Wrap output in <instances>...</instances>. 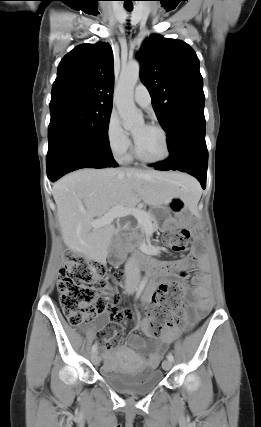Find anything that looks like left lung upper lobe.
<instances>
[{
    "instance_id": "1",
    "label": "left lung upper lobe",
    "mask_w": 261,
    "mask_h": 427,
    "mask_svg": "<svg viewBox=\"0 0 261 427\" xmlns=\"http://www.w3.org/2000/svg\"><path fill=\"white\" fill-rule=\"evenodd\" d=\"M138 58L141 80L151 94L152 106L166 132L185 116H204L199 60L187 43L153 35L142 43Z\"/></svg>"
}]
</instances>
